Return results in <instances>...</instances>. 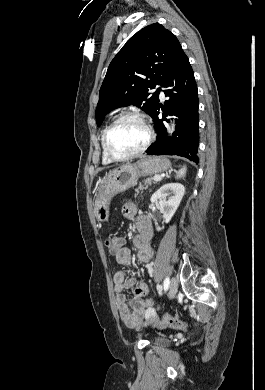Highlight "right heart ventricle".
Returning <instances> with one entry per match:
<instances>
[{
	"instance_id": "1",
	"label": "right heart ventricle",
	"mask_w": 265,
	"mask_h": 390,
	"mask_svg": "<svg viewBox=\"0 0 265 390\" xmlns=\"http://www.w3.org/2000/svg\"><path fill=\"white\" fill-rule=\"evenodd\" d=\"M106 128L107 127H105V129L103 130L102 135H101L102 162H103V164H110V163H112V160L106 155V153L104 151V147H103V135H104V132H105Z\"/></svg>"
}]
</instances>
